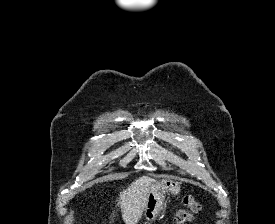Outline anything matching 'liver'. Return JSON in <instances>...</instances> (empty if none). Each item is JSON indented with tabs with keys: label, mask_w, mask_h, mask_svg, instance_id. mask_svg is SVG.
<instances>
[{
	"label": "liver",
	"mask_w": 275,
	"mask_h": 224,
	"mask_svg": "<svg viewBox=\"0 0 275 224\" xmlns=\"http://www.w3.org/2000/svg\"><path fill=\"white\" fill-rule=\"evenodd\" d=\"M153 182L154 179L143 176L133 181L123 192H120L117 201L125 224L138 223L146 207ZM112 216L115 217V212L112 213Z\"/></svg>",
	"instance_id": "1"
}]
</instances>
